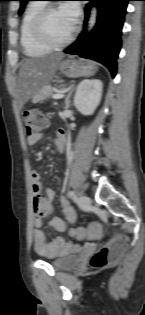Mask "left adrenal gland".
Masks as SVG:
<instances>
[{
  "mask_svg": "<svg viewBox=\"0 0 145 315\" xmlns=\"http://www.w3.org/2000/svg\"><path fill=\"white\" fill-rule=\"evenodd\" d=\"M75 87L74 86H70L69 88V92L65 98V109H68L70 107V97L74 91Z\"/></svg>",
  "mask_w": 145,
  "mask_h": 315,
  "instance_id": "1",
  "label": "left adrenal gland"
}]
</instances>
